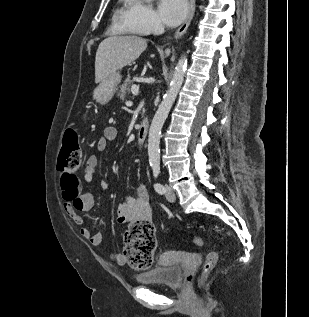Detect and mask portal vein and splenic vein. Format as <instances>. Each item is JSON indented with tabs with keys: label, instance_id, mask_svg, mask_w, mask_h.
I'll use <instances>...</instances> for the list:
<instances>
[{
	"label": "portal vein and splenic vein",
	"instance_id": "portal-vein-and-splenic-vein-1",
	"mask_svg": "<svg viewBox=\"0 0 309 317\" xmlns=\"http://www.w3.org/2000/svg\"><path fill=\"white\" fill-rule=\"evenodd\" d=\"M131 92L133 95H137L139 93V87L137 85H133L131 87Z\"/></svg>",
	"mask_w": 309,
	"mask_h": 317
}]
</instances>
